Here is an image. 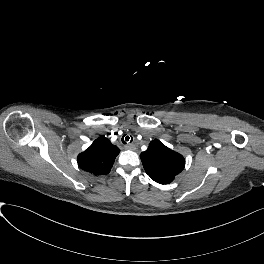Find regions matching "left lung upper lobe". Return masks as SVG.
<instances>
[{
    "label": "left lung upper lobe",
    "mask_w": 264,
    "mask_h": 264,
    "mask_svg": "<svg viewBox=\"0 0 264 264\" xmlns=\"http://www.w3.org/2000/svg\"><path fill=\"white\" fill-rule=\"evenodd\" d=\"M145 172L157 183L169 184L185 167V159L159 140L151 141L140 154Z\"/></svg>",
    "instance_id": "1"
}]
</instances>
